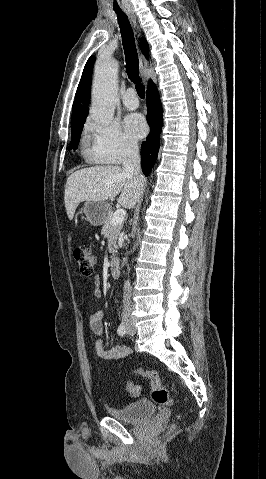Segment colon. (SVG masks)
Returning <instances> with one entry per match:
<instances>
[{
	"label": "colon",
	"mask_w": 266,
	"mask_h": 479,
	"mask_svg": "<svg viewBox=\"0 0 266 479\" xmlns=\"http://www.w3.org/2000/svg\"><path fill=\"white\" fill-rule=\"evenodd\" d=\"M73 255L78 264L80 274L90 276L97 263V255L88 247L75 248ZM134 373L150 381L152 389L151 398L155 403L164 406L174 405V399L169 391L163 386L158 372L138 368L134 370ZM126 388L133 396H138L141 392L140 387L130 380L126 381Z\"/></svg>",
	"instance_id": "5ec220e1"
}]
</instances>
